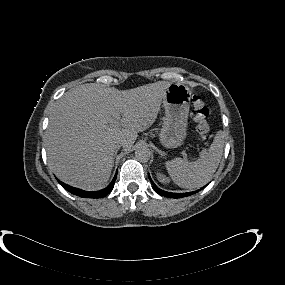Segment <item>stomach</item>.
<instances>
[{
	"label": "stomach",
	"instance_id": "0dacf381",
	"mask_svg": "<svg viewBox=\"0 0 285 285\" xmlns=\"http://www.w3.org/2000/svg\"><path fill=\"white\" fill-rule=\"evenodd\" d=\"M190 89L180 83H171L165 91L163 106L165 117L159 141L165 148L181 146L187 135L188 113L190 108Z\"/></svg>",
	"mask_w": 285,
	"mask_h": 285
}]
</instances>
